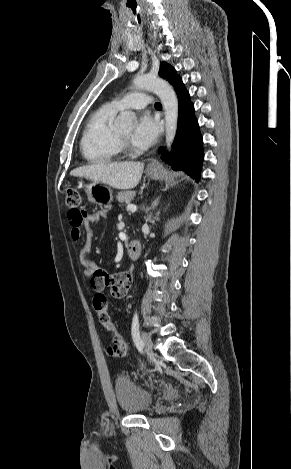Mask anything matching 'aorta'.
I'll list each match as a JSON object with an SVG mask.
<instances>
[{
  "instance_id": "1",
  "label": "aorta",
  "mask_w": 291,
  "mask_h": 469,
  "mask_svg": "<svg viewBox=\"0 0 291 469\" xmlns=\"http://www.w3.org/2000/svg\"><path fill=\"white\" fill-rule=\"evenodd\" d=\"M136 89L149 90L159 96L165 110L166 145L170 149L178 124V100L173 88L164 80L151 75H138L133 80ZM135 115L124 111L115 120V125L124 130L132 127Z\"/></svg>"
}]
</instances>
